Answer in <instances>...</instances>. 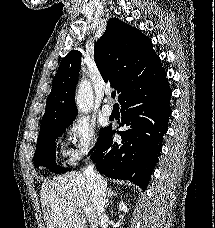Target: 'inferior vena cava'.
<instances>
[{"instance_id": "1", "label": "inferior vena cava", "mask_w": 215, "mask_h": 228, "mask_svg": "<svg viewBox=\"0 0 215 228\" xmlns=\"http://www.w3.org/2000/svg\"><path fill=\"white\" fill-rule=\"evenodd\" d=\"M83 174L90 186V190H92V196L94 198V204L97 210L96 214L98 216V220H102L107 202V184L104 178H102L100 174H97V172H95V164H93V162H90V164L86 166Z\"/></svg>"}]
</instances>
